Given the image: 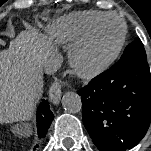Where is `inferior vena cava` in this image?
Segmentation results:
<instances>
[{
	"mask_svg": "<svg viewBox=\"0 0 151 151\" xmlns=\"http://www.w3.org/2000/svg\"><path fill=\"white\" fill-rule=\"evenodd\" d=\"M44 71L48 74L57 71L61 65V58L57 54L45 58L42 62Z\"/></svg>",
	"mask_w": 151,
	"mask_h": 151,
	"instance_id": "1",
	"label": "inferior vena cava"
}]
</instances>
